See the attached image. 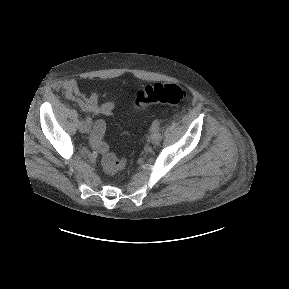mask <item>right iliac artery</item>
Masks as SVG:
<instances>
[{"label":"right iliac artery","instance_id":"obj_1","mask_svg":"<svg viewBox=\"0 0 289 289\" xmlns=\"http://www.w3.org/2000/svg\"><path fill=\"white\" fill-rule=\"evenodd\" d=\"M86 121L90 124L92 119L90 117H87Z\"/></svg>","mask_w":289,"mask_h":289}]
</instances>
